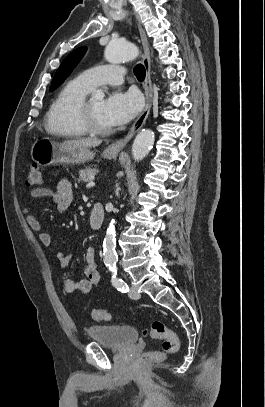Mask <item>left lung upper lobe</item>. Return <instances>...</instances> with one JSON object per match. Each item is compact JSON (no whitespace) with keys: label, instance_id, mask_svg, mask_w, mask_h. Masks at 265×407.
<instances>
[{"label":"left lung upper lobe","instance_id":"1","mask_svg":"<svg viewBox=\"0 0 265 407\" xmlns=\"http://www.w3.org/2000/svg\"><path fill=\"white\" fill-rule=\"evenodd\" d=\"M85 52L86 47H80L71 52L63 60L51 82L50 91L56 89L59 85H61L64 82L66 77L71 73L72 69L76 66V64L79 62V60L82 58Z\"/></svg>","mask_w":265,"mask_h":407}]
</instances>
